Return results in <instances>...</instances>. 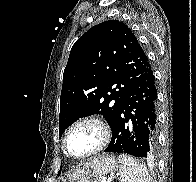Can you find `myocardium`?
<instances>
[{
  "label": "myocardium",
  "instance_id": "1",
  "mask_svg": "<svg viewBox=\"0 0 196 182\" xmlns=\"http://www.w3.org/2000/svg\"><path fill=\"white\" fill-rule=\"evenodd\" d=\"M83 125H93L94 127H96L99 132V141L97 145L89 152L83 155H74L70 153L68 149V138L73 130ZM110 136H111V133H110L109 126L103 119L97 116H86V117L80 118L77 121H75L67 129L64 135V138H63V149L66 155L69 156L70 158L77 159V160L90 158L96 155L97 153H99L100 151H102L107 146L110 140Z\"/></svg>",
  "mask_w": 196,
  "mask_h": 182
}]
</instances>
